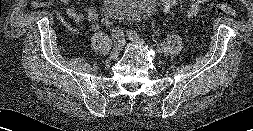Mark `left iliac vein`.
Segmentation results:
<instances>
[{
    "label": "left iliac vein",
    "instance_id": "obj_1",
    "mask_svg": "<svg viewBox=\"0 0 253 131\" xmlns=\"http://www.w3.org/2000/svg\"><path fill=\"white\" fill-rule=\"evenodd\" d=\"M129 40H131L132 42H135L137 44H144L143 39H141L140 37H132V36H128Z\"/></svg>",
    "mask_w": 253,
    "mask_h": 131
}]
</instances>
